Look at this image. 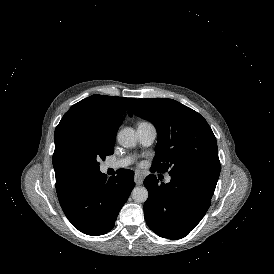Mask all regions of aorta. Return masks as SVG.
<instances>
[{
  "mask_svg": "<svg viewBox=\"0 0 274 274\" xmlns=\"http://www.w3.org/2000/svg\"><path fill=\"white\" fill-rule=\"evenodd\" d=\"M118 142L124 147H133L136 145L137 136L132 128H124L118 133ZM132 198L135 202H145L148 199V190L145 187L139 186L132 190Z\"/></svg>",
  "mask_w": 274,
  "mask_h": 274,
  "instance_id": "aorta-1",
  "label": "aorta"
}]
</instances>
